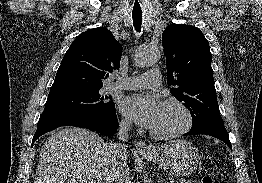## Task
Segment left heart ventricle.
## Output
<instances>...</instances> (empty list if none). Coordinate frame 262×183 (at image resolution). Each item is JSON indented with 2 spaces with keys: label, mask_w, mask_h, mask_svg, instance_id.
I'll use <instances>...</instances> for the list:
<instances>
[{
  "label": "left heart ventricle",
  "mask_w": 262,
  "mask_h": 183,
  "mask_svg": "<svg viewBox=\"0 0 262 183\" xmlns=\"http://www.w3.org/2000/svg\"><path fill=\"white\" fill-rule=\"evenodd\" d=\"M184 123L185 116L180 108L171 104H161L158 117L151 130L159 134H168L181 128Z\"/></svg>",
  "instance_id": "b2bd125f"
}]
</instances>
